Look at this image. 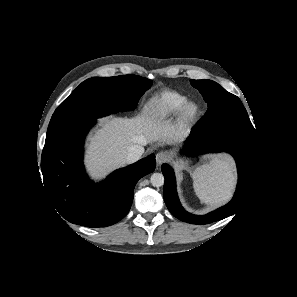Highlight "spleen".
I'll use <instances>...</instances> for the list:
<instances>
[{
  "label": "spleen",
  "mask_w": 297,
  "mask_h": 297,
  "mask_svg": "<svg viewBox=\"0 0 297 297\" xmlns=\"http://www.w3.org/2000/svg\"><path fill=\"white\" fill-rule=\"evenodd\" d=\"M192 177L196 195L206 204L226 201L235 181L232 165L224 158H214L198 167Z\"/></svg>",
  "instance_id": "3e777b00"
}]
</instances>
